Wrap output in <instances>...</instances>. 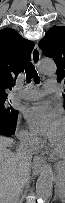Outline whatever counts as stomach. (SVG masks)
I'll return each mask as SVG.
<instances>
[{
  "label": "stomach",
  "instance_id": "obj_1",
  "mask_svg": "<svg viewBox=\"0 0 65 203\" xmlns=\"http://www.w3.org/2000/svg\"><path fill=\"white\" fill-rule=\"evenodd\" d=\"M57 186H58V195L61 199L65 198V168H58L57 171Z\"/></svg>",
  "mask_w": 65,
  "mask_h": 203
}]
</instances>
